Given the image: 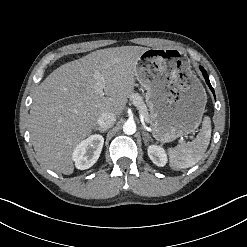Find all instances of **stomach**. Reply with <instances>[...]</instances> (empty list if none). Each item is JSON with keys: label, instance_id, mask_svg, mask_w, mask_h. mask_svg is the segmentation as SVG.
I'll return each instance as SVG.
<instances>
[{"label": "stomach", "instance_id": "0dacf381", "mask_svg": "<svg viewBox=\"0 0 247 247\" xmlns=\"http://www.w3.org/2000/svg\"><path fill=\"white\" fill-rule=\"evenodd\" d=\"M135 76L146 90L149 123L157 141L171 142L198 128L207 95L180 50H146L137 60Z\"/></svg>", "mask_w": 247, "mask_h": 247}]
</instances>
